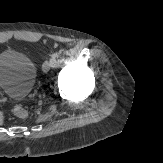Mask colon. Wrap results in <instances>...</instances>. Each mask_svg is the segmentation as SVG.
<instances>
[{
	"label": "colon",
	"mask_w": 163,
	"mask_h": 163,
	"mask_svg": "<svg viewBox=\"0 0 163 163\" xmlns=\"http://www.w3.org/2000/svg\"><path fill=\"white\" fill-rule=\"evenodd\" d=\"M12 112L16 117L21 119L26 118L28 116V111L24 107L19 105L14 106Z\"/></svg>",
	"instance_id": "5ec220e1"
}]
</instances>
